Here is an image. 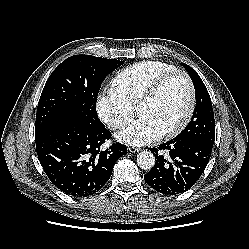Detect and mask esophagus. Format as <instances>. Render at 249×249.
I'll use <instances>...</instances> for the list:
<instances>
[{
	"mask_svg": "<svg viewBox=\"0 0 249 249\" xmlns=\"http://www.w3.org/2000/svg\"><path fill=\"white\" fill-rule=\"evenodd\" d=\"M128 151L131 153H137V152H139V149L135 148V147H128Z\"/></svg>",
	"mask_w": 249,
	"mask_h": 249,
	"instance_id": "obj_1",
	"label": "esophagus"
}]
</instances>
